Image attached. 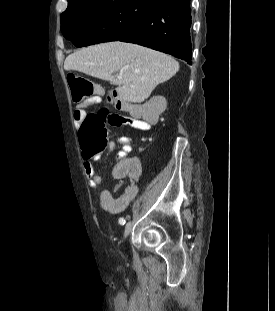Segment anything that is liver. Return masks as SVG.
Segmentation results:
<instances>
[{
	"instance_id": "liver-1",
	"label": "liver",
	"mask_w": 275,
	"mask_h": 311,
	"mask_svg": "<svg viewBox=\"0 0 275 311\" xmlns=\"http://www.w3.org/2000/svg\"><path fill=\"white\" fill-rule=\"evenodd\" d=\"M64 69L76 70L117 85L119 97L141 103L155 87L169 80L179 70V63L169 55L124 42H109L89 46L70 54ZM122 75V79L113 73Z\"/></svg>"
}]
</instances>
